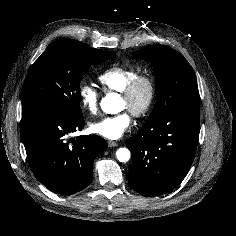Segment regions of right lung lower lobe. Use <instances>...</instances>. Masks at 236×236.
<instances>
[{
  "label": "right lung lower lobe",
  "instance_id": "98d812e1",
  "mask_svg": "<svg viewBox=\"0 0 236 236\" xmlns=\"http://www.w3.org/2000/svg\"><path fill=\"white\" fill-rule=\"evenodd\" d=\"M84 127L82 115L41 110L22 116L21 135L28 163L36 178L57 194L71 195L92 181V164L107 148L96 135H68Z\"/></svg>",
  "mask_w": 236,
  "mask_h": 236
}]
</instances>
